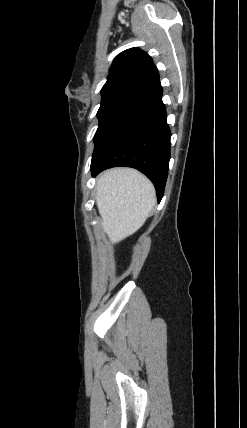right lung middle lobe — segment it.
Instances as JSON below:
<instances>
[{
  "label": "right lung middle lobe",
  "instance_id": "obj_1",
  "mask_svg": "<svg viewBox=\"0 0 247 428\" xmlns=\"http://www.w3.org/2000/svg\"><path fill=\"white\" fill-rule=\"evenodd\" d=\"M102 94L100 108L97 112L99 126L94 135V142L97 141L103 130L110 122L139 94L131 91L116 90Z\"/></svg>",
  "mask_w": 247,
  "mask_h": 428
}]
</instances>
